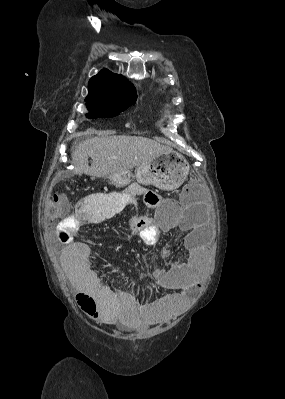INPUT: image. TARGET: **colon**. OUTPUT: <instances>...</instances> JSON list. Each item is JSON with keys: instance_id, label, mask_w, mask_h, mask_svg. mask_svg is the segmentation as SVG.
<instances>
[{"instance_id": "1", "label": "colon", "mask_w": 285, "mask_h": 399, "mask_svg": "<svg viewBox=\"0 0 285 399\" xmlns=\"http://www.w3.org/2000/svg\"><path fill=\"white\" fill-rule=\"evenodd\" d=\"M203 186V181L199 177H192L186 184L184 192L191 193L195 192ZM145 202L150 207H155L159 204L160 198L157 194L153 192L146 193L144 196ZM67 197L65 192L56 191L53 192L48 198L45 204V210L48 219L52 221H66V211H67ZM137 233V232H135ZM62 241L75 242L77 238L70 231H62L59 234Z\"/></svg>"}]
</instances>
